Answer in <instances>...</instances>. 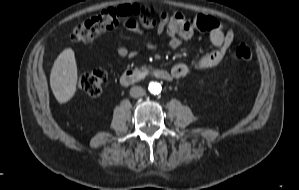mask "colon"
<instances>
[{
    "mask_svg": "<svg viewBox=\"0 0 299 190\" xmlns=\"http://www.w3.org/2000/svg\"><path fill=\"white\" fill-rule=\"evenodd\" d=\"M126 13V10H118L115 8L104 9L100 13L79 24L74 30V35L81 41L91 40L112 27L118 19L125 16ZM198 24L201 28H204V18H200ZM105 78L106 75L104 72L94 71L84 75L79 80V87L89 95L96 96L101 92Z\"/></svg>",
    "mask_w": 299,
    "mask_h": 190,
    "instance_id": "5ec220e1",
    "label": "colon"
}]
</instances>
